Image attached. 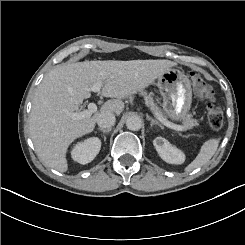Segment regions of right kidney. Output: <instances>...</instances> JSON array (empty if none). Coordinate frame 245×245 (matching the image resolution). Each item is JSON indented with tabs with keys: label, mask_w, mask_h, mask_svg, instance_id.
Returning <instances> with one entry per match:
<instances>
[{
	"label": "right kidney",
	"mask_w": 245,
	"mask_h": 245,
	"mask_svg": "<svg viewBox=\"0 0 245 245\" xmlns=\"http://www.w3.org/2000/svg\"><path fill=\"white\" fill-rule=\"evenodd\" d=\"M101 149V140L93 136L79 141L70 150V157L73 162L85 165L91 162Z\"/></svg>",
	"instance_id": "obj_1"
}]
</instances>
